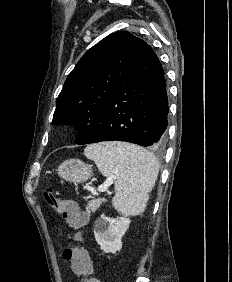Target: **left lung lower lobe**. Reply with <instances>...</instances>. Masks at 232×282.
<instances>
[{"label": "left lung lower lobe", "mask_w": 232, "mask_h": 282, "mask_svg": "<svg viewBox=\"0 0 232 282\" xmlns=\"http://www.w3.org/2000/svg\"><path fill=\"white\" fill-rule=\"evenodd\" d=\"M168 112L164 70L146 45L129 77L105 106L99 123L76 143L125 141L160 148L166 141Z\"/></svg>", "instance_id": "1"}]
</instances>
